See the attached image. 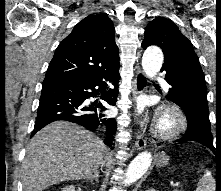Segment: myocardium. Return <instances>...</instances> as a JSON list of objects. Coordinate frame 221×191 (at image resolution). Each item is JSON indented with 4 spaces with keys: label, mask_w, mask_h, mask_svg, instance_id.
<instances>
[{
    "label": "myocardium",
    "mask_w": 221,
    "mask_h": 191,
    "mask_svg": "<svg viewBox=\"0 0 221 191\" xmlns=\"http://www.w3.org/2000/svg\"><path fill=\"white\" fill-rule=\"evenodd\" d=\"M186 127V117L175 105H166L160 110L155 134L162 139L177 137Z\"/></svg>",
    "instance_id": "myocardium-1"
}]
</instances>
